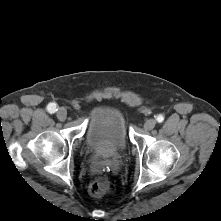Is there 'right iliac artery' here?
<instances>
[{
  "label": "right iliac artery",
  "mask_w": 221,
  "mask_h": 221,
  "mask_svg": "<svg viewBox=\"0 0 221 221\" xmlns=\"http://www.w3.org/2000/svg\"><path fill=\"white\" fill-rule=\"evenodd\" d=\"M47 110H48L50 113H55L58 109H57L56 104L50 103V104L47 106Z\"/></svg>",
  "instance_id": "82829eb1"
}]
</instances>
